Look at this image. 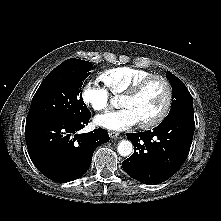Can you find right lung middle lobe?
Returning a JSON list of instances; mask_svg holds the SVG:
<instances>
[{"instance_id":"1","label":"right lung middle lobe","mask_w":221,"mask_h":221,"mask_svg":"<svg viewBox=\"0 0 221 221\" xmlns=\"http://www.w3.org/2000/svg\"><path fill=\"white\" fill-rule=\"evenodd\" d=\"M92 67L91 62L71 58L52 70L32 99L27 121L47 117L73 120L90 115L80 91Z\"/></svg>"}]
</instances>
